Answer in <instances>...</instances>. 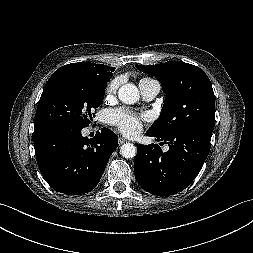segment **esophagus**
Returning a JSON list of instances; mask_svg holds the SVG:
<instances>
[{
    "mask_svg": "<svg viewBox=\"0 0 253 253\" xmlns=\"http://www.w3.org/2000/svg\"><path fill=\"white\" fill-rule=\"evenodd\" d=\"M118 142H119V145H122L125 142H127V140L125 138L120 137L119 140H118Z\"/></svg>",
    "mask_w": 253,
    "mask_h": 253,
    "instance_id": "34e87169",
    "label": "esophagus"
}]
</instances>
